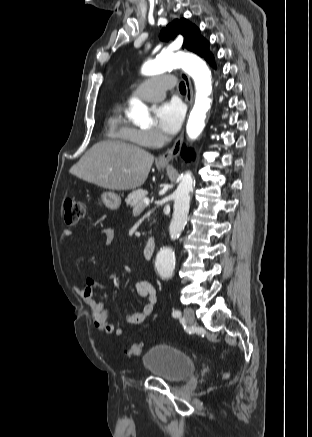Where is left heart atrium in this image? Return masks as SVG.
Segmentation results:
<instances>
[{"label":"left heart atrium","instance_id":"obj_1","mask_svg":"<svg viewBox=\"0 0 312 437\" xmlns=\"http://www.w3.org/2000/svg\"><path fill=\"white\" fill-rule=\"evenodd\" d=\"M159 129L168 135L175 134L183 121L184 109L178 101H168L162 103L155 113Z\"/></svg>","mask_w":312,"mask_h":437}]
</instances>
